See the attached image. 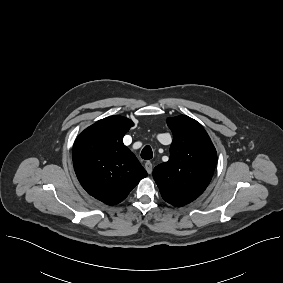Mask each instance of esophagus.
<instances>
[{"instance_id":"obj_1","label":"esophagus","mask_w":283,"mask_h":283,"mask_svg":"<svg viewBox=\"0 0 283 283\" xmlns=\"http://www.w3.org/2000/svg\"><path fill=\"white\" fill-rule=\"evenodd\" d=\"M144 166H145L147 173L151 174L153 170V164L150 161H147Z\"/></svg>"}]
</instances>
